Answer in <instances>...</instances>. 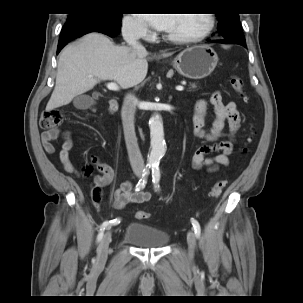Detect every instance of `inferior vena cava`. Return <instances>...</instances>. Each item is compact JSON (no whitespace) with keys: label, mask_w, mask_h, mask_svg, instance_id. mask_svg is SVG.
Masks as SVG:
<instances>
[{"label":"inferior vena cava","mask_w":303,"mask_h":303,"mask_svg":"<svg viewBox=\"0 0 303 303\" xmlns=\"http://www.w3.org/2000/svg\"><path fill=\"white\" fill-rule=\"evenodd\" d=\"M122 36L132 49L134 55L146 51L143 45L138 41L139 28L136 24L131 22L124 23L122 27ZM137 103L138 100L134 95L127 94L123 101L121 117L130 164L133 172L140 175L144 169V160L137 143L134 128V116Z\"/></svg>","instance_id":"1"}]
</instances>
